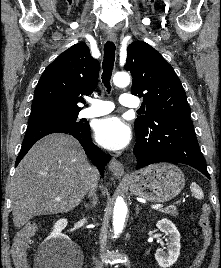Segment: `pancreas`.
Instances as JSON below:
<instances>
[{
  "instance_id": "1",
  "label": "pancreas",
  "mask_w": 221,
  "mask_h": 268,
  "mask_svg": "<svg viewBox=\"0 0 221 268\" xmlns=\"http://www.w3.org/2000/svg\"><path fill=\"white\" fill-rule=\"evenodd\" d=\"M160 212L176 217L178 215V211L175 206L171 205L164 209H160Z\"/></svg>"
}]
</instances>
